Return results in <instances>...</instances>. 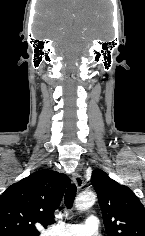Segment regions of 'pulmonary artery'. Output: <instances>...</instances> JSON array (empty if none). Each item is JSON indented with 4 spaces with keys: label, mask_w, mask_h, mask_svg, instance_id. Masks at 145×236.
I'll use <instances>...</instances> for the list:
<instances>
[{
    "label": "pulmonary artery",
    "mask_w": 145,
    "mask_h": 236,
    "mask_svg": "<svg viewBox=\"0 0 145 236\" xmlns=\"http://www.w3.org/2000/svg\"><path fill=\"white\" fill-rule=\"evenodd\" d=\"M99 221L90 216L84 224H62L49 228L45 236H94L98 232Z\"/></svg>",
    "instance_id": "e3ab8cb5"
}]
</instances>
